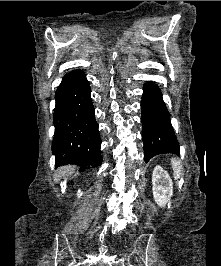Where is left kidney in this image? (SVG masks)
Returning a JSON list of instances; mask_svg holds the SVG:
<instances>
[{
    "instance_id": "5707ae66",
    "label": "left kidney",
    "mask_w": 221,
    "mask_h": 266,
    "mask_svg": "<svg viewBox=\"0 0 221 266\" xmlns=\"http://www.w3.org/2000/svg\"><path fill=\"white\" fill-rule=\"evenodd\" d=\"M152 184L155 202L160 207H165L173 195V183L169 174L159 165L153 170Z\"/></svg>"
}]
</instances>
